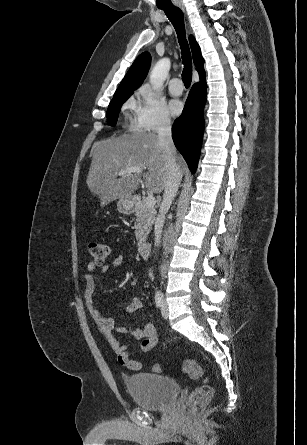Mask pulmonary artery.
I'll return each mask as SVG.
<instances>
[{
	"label": "pulmonary artery",
	"mask_w": 307,
	"mask_h": 445,
	"mask_svg": "<svg viewBox=\"0 0 307 445\" xmlns=\"http://www.w3.org/2000/svg\"><path fill=\"white\" fill-rule=\"evenodd\" d=\"M172 78V82L170 84V92L175 96H180L183 93V84L180 80V75L174 73Z\"/></svg>",
	"instance_id": "1"
}]
</instances>
